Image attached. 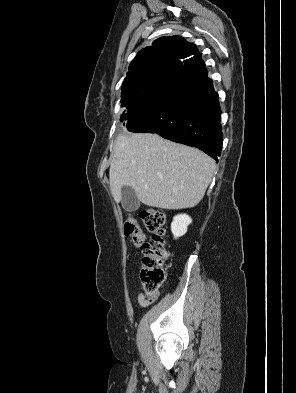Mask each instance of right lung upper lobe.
Returning <instances> with one entry per match:
<instances>
[{
	"label": "right lung upper lobe",
	"instance_id": "1",
	"mask_svg": "<svg viewBox=\"0 0 296 393\" xmlns=\"http://www.w3.org/2000/svg\"><path fill=\"white\" fill-rule=\"evenodd\" d=\"M201 60L196 46L180 36L161 37L152 46L140 50L129 66L123 81L122 100L127 101L141 93L148 81L168 78L183 66Z\"/></svg>",
	"mask_w": 296,
	"mask_h": 393
}]
</instances>
